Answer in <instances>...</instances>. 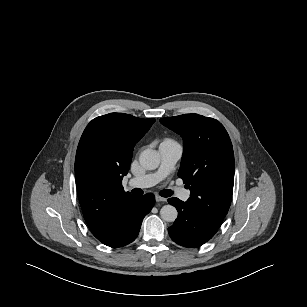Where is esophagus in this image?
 I'll use <instances>...</instances> for the list:
<instances>
[{"instance_id":"esophagus-1","label":"esophagus","mask_w":307,"mask_h":307,"mask_svg":"<svg viewBox=\"0 0 307 307\" xmlns=\"http://www.w3.org/2000/svg\"><path fill=\"white\" fill-rule=\"evenodd\" d=\"M155 199H156L157 202H165V201H167V199L165 197H162L160 195H156Z\"/></svg>"}]
</instances>
